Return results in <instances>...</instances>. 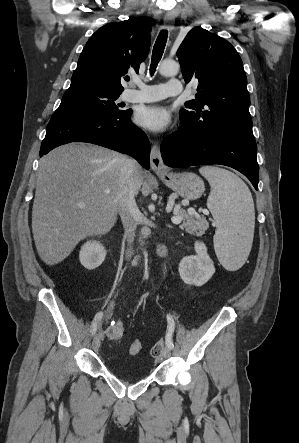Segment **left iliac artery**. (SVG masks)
<instances>
[{
	"label": "left iliac artery",
	"instance_id": "obj_1",
	"mask_svg": "<svg viewBox=\"0 0 299 443\" xmlns=\"http://www.w3.org/2000/svg\"><path fill=\"white\" fill-rule=\"evenodd\" d=\"M167 322H168V327H167V332H166V345L170 349H173L174 344H173V340H172V334L174 331L175 324H174V319L170 314H167Z\"/></svg>",
	"mask_w": 299,
	"mask_h": 443
}]
</instances>
